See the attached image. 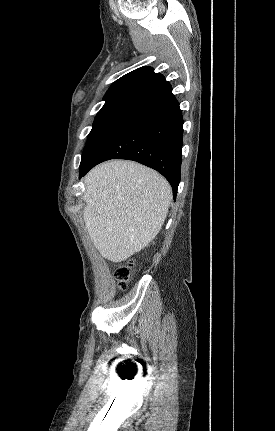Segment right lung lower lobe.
I'll return each instance as SVG.
<instances>
[{"label":"right lung lower lobe","instance_id":"1","mask_svg":"<svg viewBox=\"0 0 275 431\" xmlns=\"http://www.w3.org/2000/svg\"><path fill=\"white\" fill-rule=\"evenodd\" d=\"M183 118L172 92L137 110L92 161L80 169L81 178L110 159L137 161L161 173L176 198L182 161Z\"/></svg>","mask_w":275,"mask_h":431}]
</instances>
